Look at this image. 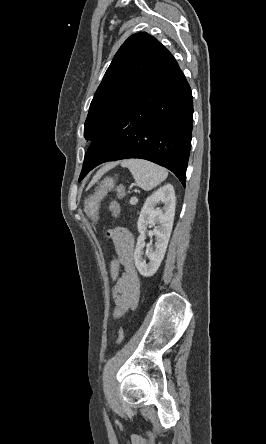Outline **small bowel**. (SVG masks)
<instances>
[{"label":"small bowel","instance_id":"1","mask_svg":"<svg viewBox=\"0 0 266 444\" xmlns=\"http://www.w3.org/2000/svg\"><path fill=\"white\" fill-rule=\"evenodd\" d=\"M123 270L117 280L112 294L115 301L114 317L123 316L133 309L140 296V279L134 265V239L126 229L117 228L109 233Z\"/></svg>","mask_w":266,"mask_h":444}]
</instances>
